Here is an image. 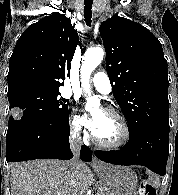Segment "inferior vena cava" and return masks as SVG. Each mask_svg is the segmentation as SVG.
Returning a JSON list of instances; mask_svg holds the SVG:
<instances>
[{"label": "inferior vena cava", "instance_id": "inferior-vena-cava-1", "mask_svg": "<svg viewBox=\"0 0 178 195\" xmlns=\"http://www.w3.org/2000/svg\"><path fill=\"white\" fill-rule=\"evenodd\" d=\"M70 146H71V150L75 154L74 159L70 162V169H71L72 174L76 175L80 168V162L78 160V155H79L80 148H81V137L74 136L70 140Z\"/></svg>", "mask_w": 178, "mask_h": 195}]
</instances>
